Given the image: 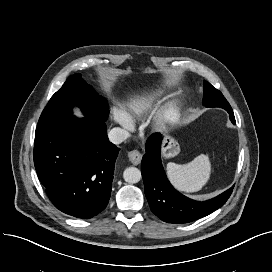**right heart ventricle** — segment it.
<instances>
[{
    "mask_svg": "<svg viewBox=\"0 0 272 272\" xmlns=\"http://www.w3.org/2000/svg\"><path fill=\"white\" fill-rule=\"evenodd\" d=\"M161 95L162 91L158 89L137 94L122 111L124 118L130 124L134 123L153 109Z\"/></svg>",
    "mask_w": 272,
    "mask_h": 272,
    "instance_id": "1",
    "label": "right heart ventricle"
}]
</instances>
